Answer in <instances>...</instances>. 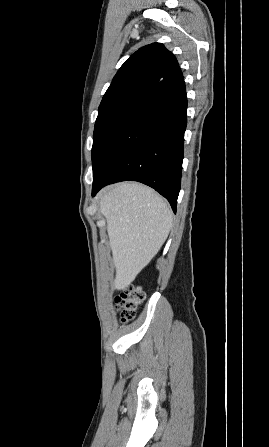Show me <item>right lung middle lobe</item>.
Segmentation results:
<instances>
[{
  "instance_id": "dd1d6c3e",
  "label": "right lung middle lobe",
  "mask_w": 269,
  "mask_h": 447,
  "mask_svg": "<svg viewBox=\"0 0 269 447\" xmlns=\"http://www.w3.org/2000/svg\"><path fill=\"white\" fill-rule=\"evenodd\" d=\"M140 108L123 107L114 111L99 115L96 119L94 135H93V147H92V160L95 161L97 155L102 150L104 145L113 135L122 121L132 112Z\"/></svg>"
}]
</instances>
